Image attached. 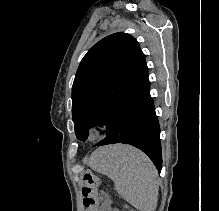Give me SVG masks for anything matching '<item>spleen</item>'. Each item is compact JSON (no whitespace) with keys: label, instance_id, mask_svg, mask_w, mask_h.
Returning <instances> with one entry per match:
<instances>
[{"label":"spleen","instance_id":"spleen-1","mask_svg":"<svg viewBox=\"0 0 219 211\" xmlns=\"http://www.w3.org/2000/svg\"><path fill=\"white\" fill-rule=\"evenodd\" d=\"M89 167L113 179L119 195L128 203L140 211H155L158 173L144 151L126 143L102 145L91 153Z\"/></svg>","mask_w":219,"mask_h":211}]
</instances>
